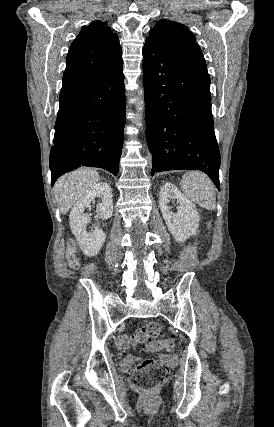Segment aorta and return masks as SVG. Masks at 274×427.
I'll return each instance as SVG.
<instances>
[{
  "label": "aorta",
  "mask_w": 274,
  "mask_h": 427,
  "mask_svg": "<svg viewBox=\"0 0 274 427\" xmlns=\"http://www.w3.org/2000/svg\"><path fill=\"white\" fill-rule=\"evenodd\" d=\"M143 92H144V90L140 89V90H139V95H143ZM142 104H143V100H142V99L138 100V103H137V111H138V112H140V111H142V110H143ZM136 125H137V126H141V121H140V120H137V121H136Z\"/></svg>",
  "instance_id": "aorta-1"
}]
</instances>
